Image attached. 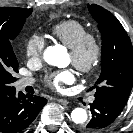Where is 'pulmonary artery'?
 <instances>
[{
  "instance_id": "e3ab8cb5",
  "label": "pulmonary artery",
  "mask_w": 133,
  "mask_h": 133,
  "mask_svg": "<svg viewBox=\"0 0 133 133\" xmlns=\"http://www.w3.org/2000/svg\"><path fill=\"white\" fill-rule=\"evenodd\" d=\"M34 83L33 79L30 78H21L16 82V88L18 90H23L25 87L32 85ZM91 102L94 101V98L90 99Z\"/></svg>"
}]
</instances>
